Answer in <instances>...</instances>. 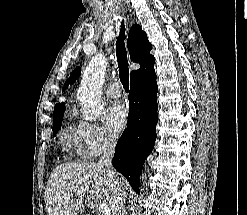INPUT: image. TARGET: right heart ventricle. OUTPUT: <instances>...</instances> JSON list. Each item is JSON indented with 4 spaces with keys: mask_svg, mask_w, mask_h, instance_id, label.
Listing matches in <instances>:
<instances>
[{
    "mask_svg": "<svg viewBox=\"0 0 247 215\" xmlns=\"http://www.w3.org/2000/svg\"><path fill=\"white\" fill-rule=\"evenodd\" d=\"M63 145L76 152L79 156H85V150L81 146L80 138L77 134V129L72 126L66 127L62 132Z\"/></svg>",
    "mask_w": 247,
    "mask_h": 215,
    "instance_id": "1",
    "label": "right heart ventricle"
}]
</instances>
